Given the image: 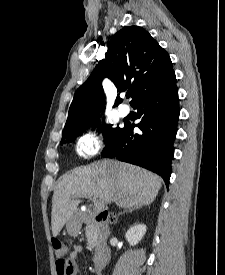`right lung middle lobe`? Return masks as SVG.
I'll use <instances>...</instances> for the list:
<instances>
[{"instance_id": "1", "label": "right lung middle lobe", "mask_w": 225, "mask_h": 275, "mask_svg": "<svg viewBox=\"0 0 225 275\" xmlns=\"http://www.w3.org/2000/svg\"><path fill=\"white\" fill-rule=\"evenodd\" d=\"M98 124H99V122L96 117H90V118L84 119L82 121H79L75 124L64 127L61 144L67 143V141H65V139H67L69 142H72L75 139V137L78 136L79 133H81L87 127L97 126ZM99 129L103 133L105 143H109L121 131V128L113 127L110 124H103Z\"/></svg>"}]
</instances>
